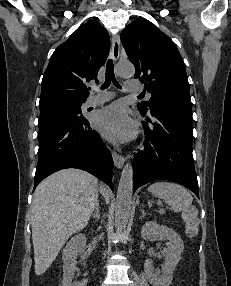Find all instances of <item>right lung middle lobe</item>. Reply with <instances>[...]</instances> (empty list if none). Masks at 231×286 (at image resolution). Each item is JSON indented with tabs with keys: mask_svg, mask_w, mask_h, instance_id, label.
<instances>
[{
	"mask_svg": "<svg viewBox=\"0 0 231 286\" xmlns=\"http://www.w3.org/2000/svg\"><path fill=\"white\" fill-rule=\"evenodd\" d=\"M83 101H65L40 107L39 129L64 120H82Z\"/></svg>",
	"mask_w": 231,
	"mask_h": 286,
	"instance_id": "right-lung-middle-lobe-1",
	"label": "right lung middle lobe"
}]
</instances>
